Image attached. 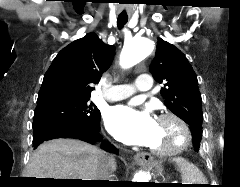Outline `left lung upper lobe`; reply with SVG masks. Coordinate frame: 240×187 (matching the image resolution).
Here are the masks:
<instances>
[{"instance_id":"5c2ea615","label":"left lung upper lobe","mask_w":240,"mask_h":187,"mask_svg":"<svg viewBox=\"0 0 240 187\" xmlns=\"http://www.w3.org/2000/svg\"><path fill=\"white\" fill-rule=\"evenodd\" d=\"M150 72L164 85L161 96L165 105L191 127L193 145L198 151L202 138V99L197 76L189 61L174 45L159 38Z\"/></svg>"}]
</instances>
